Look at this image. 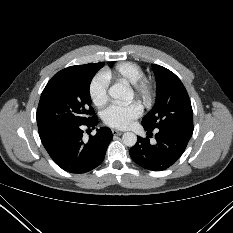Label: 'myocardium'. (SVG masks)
<instances>
[{"label":"myocardium","instance_id":"myocardium-1","mask_svg":"<svg viewBox=\"0 0 233 233\" xmlns=\"http://www.w3.org/2000/svg\"><path fill=\"white\" fill-rule=\"evenodd\" d=\"M135 96L144 104H151L156 96V91L153 83L147 78H141L137 83L133 84Z\"/></svg>","mask_w":233,"mask_h":233}]
</instances>
